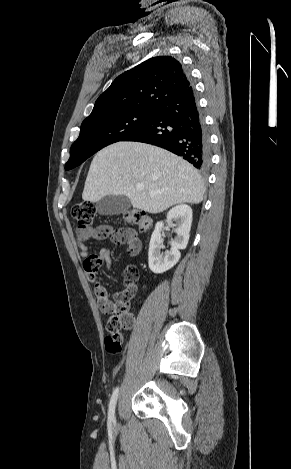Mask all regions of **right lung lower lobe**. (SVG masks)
Here are the masks:
<instances>
[{
    "label": "right lung lower lobe",
    "mask_w": 291,
    "mask_h": 469,
    "mask_svg": "<svg viewBox=\"0 0 291 469\" xmlns=\"http://www.w3.org/2000/svg\"><path fill=\"white\" fill-rule=\"evenodd\" d=\"M122 141H138L167 149L199 170L210 165V141L192 86L162 101L139 129Z\"/></svg>",
    "instance_id": "obj_1"
}]
</instances>
